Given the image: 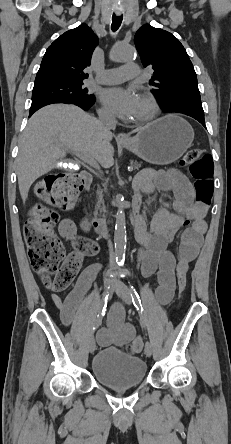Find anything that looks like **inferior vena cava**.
<instances>
[{
  "instance_id": "inferior-vena-cava-1",
  "label": "inferior vena cava",
  "mask_w": 231,
  "mask_h": 444,
  "mask_svg": "<svg viewBox=\"0 0 231 444\" xmlns=\"http://www.w3.org/2000/svg\"><path fill=\"white\" fill-rule=\"evenodd\" d=\"M99 121H100V124L103 126L104 130H106V131L114 130L116 127V120L109 113H106V112L99 113ZM109 248H110L111 259H112L111 244H109Z\"/></svg>"
}]
</instances>
